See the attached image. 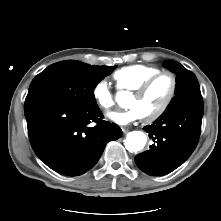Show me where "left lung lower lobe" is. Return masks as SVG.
I'll list each match as a JSON object with an SVG mask.
<instances>
[{"mask_svg": "<svg viewBox=\"0 0 221 221\" xmlns=\"http://www.w3.org/2000/svg\"><path fill=\"white\" fill-rule=\"evenodd\" d=\"M202 117L203 99L198 95L145 126L154 144L135 156L137 166L148 175L163 176L182 165L197 146Z\"/></svg>", "mask_w": 221, "mask_h": 221, "instance_id": "obj_1", "label": "left lung lower lobe"}]
</instances>
